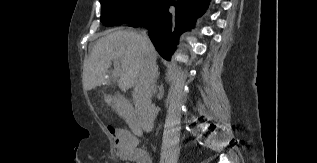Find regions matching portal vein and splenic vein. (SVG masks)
I'll list each match as a JSON object with an SVG mask.
<instances>
[{"mask_svg": "<svg viewBox=\"0 0 317 163\" xmlns=\"http://www.w3.org/2000/svg\"><path fill=\"white\" fill-rule=\"evenodd\" d=\"M120 76V63L118 60H114V70L112 72V78L117 79Z\"/></svg>", "mask_w": 317, "mask_h": 163, "instance_id": "portal-vein-and-splenic-vein-1", "label": "portal vein and splenic vein"}]
</instances>
